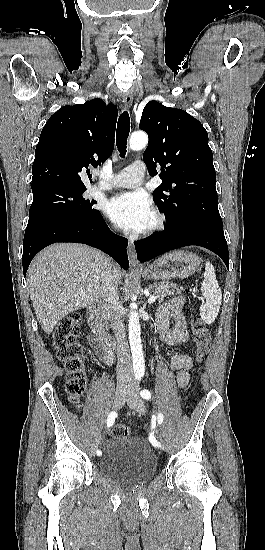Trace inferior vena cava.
I'll return each instance as SVG.
<instances>
[{"label":"inferior vena cava","mask_w":265,"mask_h":550,"mask_svg":"<svg viewBox=\"0 0 265 550\" xmlns=\"http://www.w3.org/2000/svg\"><path fill=\"white\" fill-rule=\"evenodd\" d=\"M102 297L104 309L111 322L116 342L117 354V382L128 384L132 380L133 367L130 349L126 339L125 326L121 321V312L118 296V276L113 264L107 268L106 279L103 285Z\"/></svg>","instance_id":"obj_1"}]
</instances>
